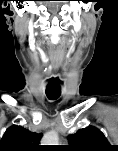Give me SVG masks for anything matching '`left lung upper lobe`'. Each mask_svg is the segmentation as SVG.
Here are the masks:
<instances>
[{"instance_id":"obj_1","label":"left lung upper lobe","mask_w":118,"mask_h":151,"mask_svg":"<svg viewBox=\"0 0 118 151\" xmlns=\"http://www.w3.org/2000/svg\"><path fill=\"white\" fill-rule=\"evenodd\" d=\"M72 151H103L110 147L104 134L97 128L90 126L78 130L74 135L68 136Z\"/></svg>"}]
</instances>
